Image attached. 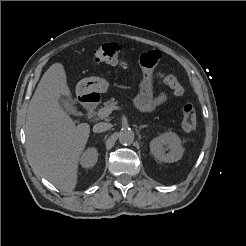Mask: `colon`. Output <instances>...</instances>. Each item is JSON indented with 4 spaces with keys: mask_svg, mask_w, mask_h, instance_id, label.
<instances>
[{
    "mask_svg": "<svg viewBox=\"0 0 246 246\" xmlns=\"http://www.w3.org/2000/svg\"><path fill=\"white\" fill-rule=\"evenodd\" d=\"M93 59L97 63H106L110 65H125L124 51L115 43H107L94 51ZM164 82L173 89L174 93L181 96L184 89L173 74H162ZM197 125V114L195 107L188 103L184 105L181 117V127L184 131L190 132Z\"/></svg>",
    "mask_w": 246,
    "mask_h": 246,
    "instance_id": "colon-1",
    "label": "colon"
}]
</instances>
